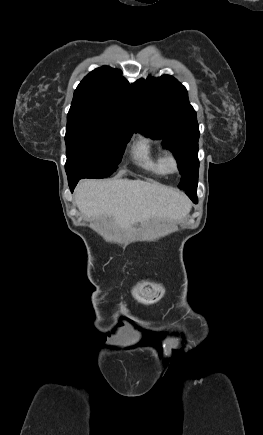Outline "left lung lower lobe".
<instances>
[{
  "mask_svg": "<svg viewBox=\"0 0 263 435\" xmlns=\"http://www.w3.org/2000/svg\"><path fill=\"white\" fill-rule=\"evenodd\" d=\"M196 189L197 188H195V189H193V190H186V194L189 196V198L195 203V204H197L198 203V198H197V195H196Z\"/></svg>",
  "mask_w": 263,
  "mask_h": 435,
  "instance_id": "obj_1",
  "label": "left lung lower lobe"
}]
</instances>
